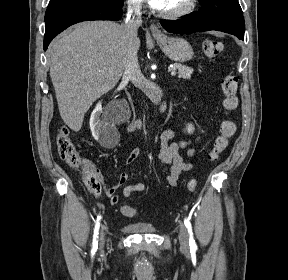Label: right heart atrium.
<instances>
[{
    "instance_id": "d8ad5b80",
    "label": "right heart atrium",
    "mask_w": 288,
    "mask_h": 280,
    "mask_svg": "<svg viewBox=\"0 0 288 280\" xmlns=\"http://www.w3.org/2000/svg\"><path fill=\"white\" fill-rule=\"evenodd\" d=\"M127 6L131 11L138 12L143 8V0H127Z\"/></svg>"
}]
</instances>
